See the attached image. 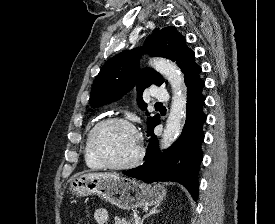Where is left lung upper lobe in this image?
Listing matches in <instances>:
<instances>
[{
	"label": "left lung upper lobe",
	"instance_id": "1",
	"mask_svg": "<svg viewBox=\"0 0 275 224\" xmlns=\"http://www.w3.org/2000/svg\"><path fill=\"white\" fill-rule=\"evenodd\" d=\"M143 53L176 62L184 73L185 81L200 68L194 61L195 53L186 46L185 38L176 31L175 27L169 26L161 30L156 28L143 47L123 51L104 64L92 86L90 105L93 108L119 99L134 86L137 88L140 108L146 107L142 99L143 90L151 84L162 85L163 78L151 68L142 70L139 68V58ZM158 120V114L148 117V129Z\"/></svg>",
	"mask_w": 275,
	"mask_h": 224
}]
</instances>
